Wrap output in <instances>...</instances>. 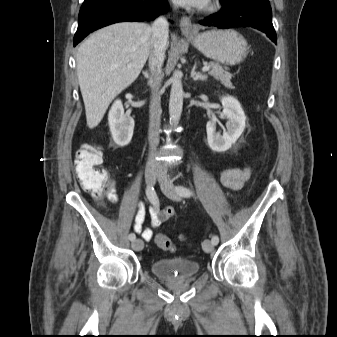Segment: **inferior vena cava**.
I'll return each mask as SVG.
<instances>
[{
  "instance_id": "obj_1",
  "label": "inferior vena cava",
  "mask_w": 337,
  "mask_h": 337,
  "mask_svg": "<svg viewBox=\"0 0 337 337\" xmlns=\"http://www.w3.org/2000/svg\"><path fill=\"white\" fill-rule=\"evenodd\" d=\"M152 32V50L149 56V67L151 77L149 85L152 90V99L150 102L149 131L148 139L150 144V154L148 158L149 164H155V150L159 143V126L161 118V103L159 96V88L162 78V65L165 58V50L168 40L169 23L163 16L158 17L150 28Z\"/></svg>"
}]
</instances>
